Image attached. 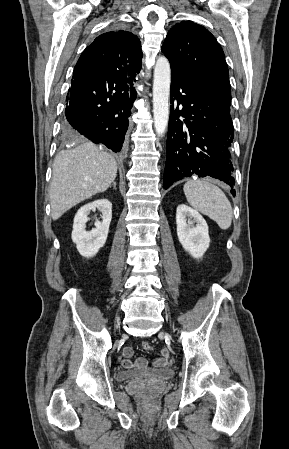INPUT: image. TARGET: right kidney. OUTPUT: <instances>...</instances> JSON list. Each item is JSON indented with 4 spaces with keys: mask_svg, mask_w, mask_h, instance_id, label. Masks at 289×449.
I'll return each instance as SVG.
<instances>
[{
    "mask_svg": "<svg viewBox=\"0 0 289 449\" xmlns=\"http://www.w3.org/2000/svg\"><path fill=\"white\" fill-rule=\"evenodd\" d=\"M112 204L107 199L96 200L82 206L75 215L72 231V240L78 252L85 258L95 256L106 243L109 225L112 219ZM99 210L102 221H95V228L86 230V223L91 211Z\"/></svg>",
    "mask_w": 289,
    "mask_h": 449,
    "instance_id": "obj_1",
    "label": "right kidney"
}]
</instances>
